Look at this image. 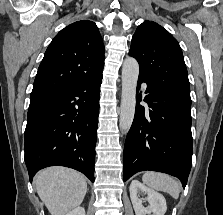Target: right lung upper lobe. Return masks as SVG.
<instances>
[{
	"label": "right lung upper lobe",
	"instance_id": "1",
	"mask_svg": "<svg viewBox=\"0 0 223 215\" xmlns=\"http://www.w3.org/2000/svg\"><path fill=\"white\" fill-rule=\"evenodd\" d=\"M104 44L96 24L77 21L61 30L38 68L31 96L65 91L102 72Z\"/></svg>",
	"mask_w": 223,
	"mask_h": 215
}]
</instances>
